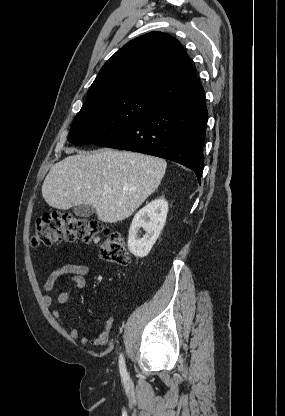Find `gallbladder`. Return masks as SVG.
Segmentation results:
<instances>
[{
    "mask_svg": "<svg viewBox=\"0 0 285 416\" xmlns=\"http://www.w3.org/2000/svg\"><path fill=\"white\" fill-rule=\"evenodd\" d=\"M94 212V208H91V206H85V204H82V206H77V208H74V214L75 216H79V218H89V216H92Z\"/></svg>",
    "mask_w": 285,
    "mask_h": 416,
    "instance_id": "gallbladder-1",
    "label": "gallbladder"
}]
</instances>
